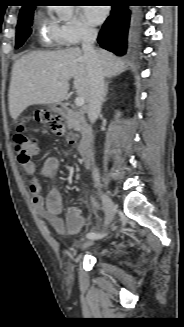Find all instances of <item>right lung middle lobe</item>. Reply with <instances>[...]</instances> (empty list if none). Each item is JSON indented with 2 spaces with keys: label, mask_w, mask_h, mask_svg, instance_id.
<instances>
[{
  "label": "right lung middle lobe",
  "mask_w": 184,
  "mask_h": 327,
  "mask_svg": "<svg viewBox=\"0 0 184 327\" xmlns=\"http://www.w3.org/2000/svg\"><path fill=\"white\" fill-rule=\"evenodd\" d=\"M35 8H30L26 11L19 13V20L17 23V35L15 48H19L23 45L26 39L32 33L33 13Z\"/></svg>",
  "instance_id": "right-lung-middle-lobe-1"
}]
</instances>
